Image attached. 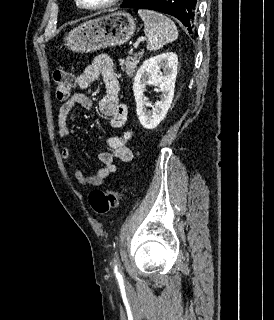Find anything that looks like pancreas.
I'll return each instance as SVG.
<instances>
[{
	"label": "pancreas",
	"mask_w": 274,
	"mask_h": 320,
	"mask_svg": "<svg viewBox=\"0 0 274 320\" xmlns=\"http://www.w3.org/2000/svg\"><path fill=\"white\" fill-rule=\"evenodd\" d=\"M141 58H143V52H138V54H131V56H127L126 60H120V66H123L129 78L133 76L137 68V64H139Z\"/></svg>",
	"instance_id": "obj_1"
}]
</instances>
